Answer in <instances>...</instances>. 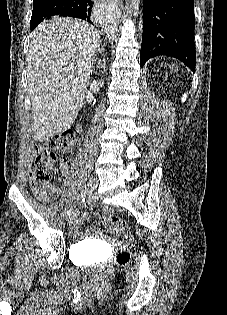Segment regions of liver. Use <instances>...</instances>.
I'll return each instance as SVG.
<instances>
[{
    "instance_id": "obj_1",
    "label": "liver",
    "mask_w": 227,
    "mask_h": 315,
    "mask_svg": "<svg viewBox=\"0 0 227 315\" xmlns=\"http://www.w3.org/2000/svg\"><path fill=\"white\" fill-rule=\"evenodd\" d=\"M99 44L100 32L79 19L54 18L35 28L27 54L35 140L47 141L74 123Z\"/></svg>"
}]
</instances>
